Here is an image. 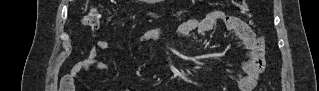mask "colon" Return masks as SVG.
Wrapping results in <instances>:
<instances>
[{
	"label": "colon",
	"mask_w": 319,
	"mask_h": 91,
	"mask_svg": "<svg viewBox=\"0 0 319 91\" xmlns=\"http://www.w3.org/2000/svg\"><path fill=\"white\" fill-rule=\"evenodd\" d=\"M232 4L237 7L242 13L248 14L249 9L245 0H232ZM82 23L92 29L97 30L103 24V15L100 7L92 6L88 9L82 18Z\"/></svg>",
	"instance_id": "1"
}]
</instances>
